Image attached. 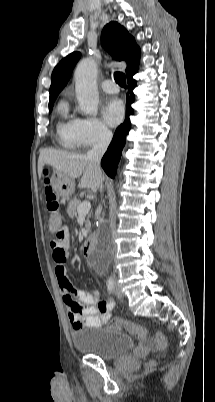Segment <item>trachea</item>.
Returning <instances> with one entry per match:
<instances>
[{"label": "trachea", "instance_id": "trachea-1", "mask_svg": "<svg viewBox=\"0 0 215 402\" xmlns=\"http://www.w3.org/2000/svg\"><path fill=\"white\" fill-rule=\"evenodd\" d=\"M114 79L117 84H119L121 87L126 88V77L125 74L122 72H115L114 73Z\"/></svg>", "mask_w": 215, "mask_h": 402}]
</instances>
